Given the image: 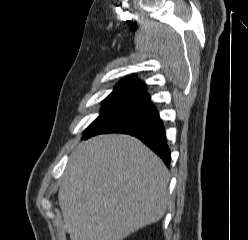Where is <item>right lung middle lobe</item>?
<instances>
[{
  "instance_id": "1",
  "label": "right lung middle lobe",
  "mask_w": 248,
  "mask_h": 240,
  "mask_svg": "<svg viewBox=\"0 0 248 240\" xmlns=\"http://www.w3.org/2000/svg\"><path fill=\"white\" fill-rule=\"evenodd\" d=\"M137 102L138 101L134 98L120 96V95L111 93L103 101L102 111L99 117L89 125V127L85 131V134L88 133L94 126H96L100 121H102L106 117Z\"/></svg>"
}]
</instances>
